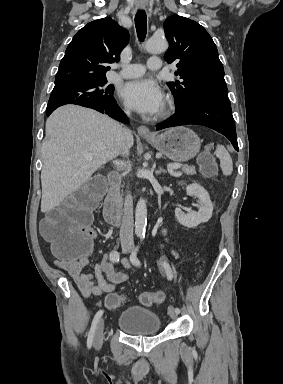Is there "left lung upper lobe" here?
Segmentation results:
<instances>
[{
  "label": "left lung upper lobe",
  "instance_id": "left-lung-upper-lobe-1",
  "mask_svg": "<svg viewBox=\"0 0 283 384\" xmlns=\"http://www.w3.org/2000/svg\"><path fill=\"white\" fill-rule=\"evenodd\" d=\"M169 48L164 58L168 63L177 61L181 82H169L176 110L193 103L216 98H228L223 65L209 33L197 22L172 15L164 24Z\"/></svg>",
  "mask_w": 283,
  "mask_h": 384
}]
</instances>
